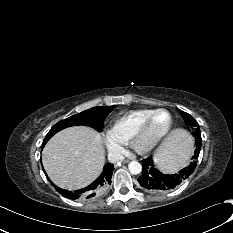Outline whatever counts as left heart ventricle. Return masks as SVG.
Here are the masks:
<instances>
[{
    "label": "left heart ventricle",
    "mask_w": 233,
    "mask_h": 233,
    "mask_svg": "<svg viewBox=\"0 0 233 233\" xmlns=\"http://www.w3.org/2000/svg\"><path fill=\"white\" fill-rule=\"evenodd\" d=\"M168 122V115L165 112H159L150 121L145 134V140H152L158 136L165 128Z\"/></svg>",
    "instance_id": "obj_1"
}]
</instances>
